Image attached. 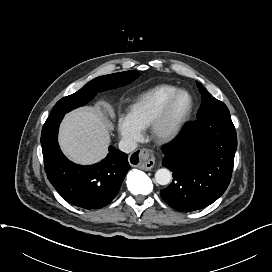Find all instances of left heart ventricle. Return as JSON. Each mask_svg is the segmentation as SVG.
Wrapping results in <instances>:
<instances>
[{
	"instance_id": "1",
	"label": "left heart ventricle",
	"mask_w": 272,
	"mask_h": 272,
	"mask_svg": "<svg viewBox=\"0 0 272 272\" xmlns=\"http://www.w3.org/2000/svg\"><path fill=\"white\" fill-rule=\"evenodd\" d=\"M190 98L186 94H181L172 109V113L170 116V122H174L179 119L189 108Z\"/></svg>"
}]
</instances>
